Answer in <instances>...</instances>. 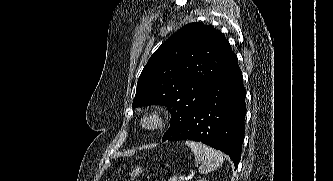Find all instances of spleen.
Listing matches in <instances>:
<instances>
[{
	"label": "spleen",
	"mask_w": 333,
	"mask_h": 181,
	"mask_svg": "<svg viewBox=\"0 0 333 181\" xmlns=\"http://www.w3.org/2000/svg\"><path fill=\"white\" fill-rule=\"evenodd\" d=\"M185 144L191 148L196 161L200 164L199 172L207 174L223 163V155L217 150L194 141H186Z\"/></svg>",
	"instance_id": "spleen-1"
}]
</instances>
